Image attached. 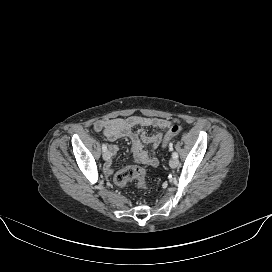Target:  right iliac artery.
Here are the masks:
<instances>
[{
    "label": "right iliac artery",
    "instance_id": "obj_1",
    "mask_svg": "<svg viewBox=\"0 0 272 272\" xmlns=\"http://www.w3.org/2000/svg\"><path fill=\"white\" fill-rule=\"evenodd\" d=\"M102 150L105 152L107 150V146L105 144L102 145Z\"/></svg>",
    "mask_w": 272,
    "mask_h": 272
}]
</instances>
